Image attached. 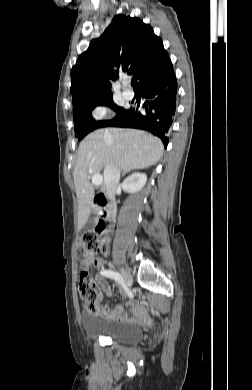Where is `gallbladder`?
Here are the masks:
<instances>
[{"label":"gallbladder","instance_id":"1","mask_svg":"<svg viewBox=\"0 0 252 390\" xmlns=\"http://www.w3.org/2000/svg\"><path fill=\"white\" fill-rule=\"evenodd\" d=\"M95 227V219H94V216H91L87 222L85 223V225L82 227L81 229V233H84V232H87V231H91L93 230Z\"/></svg>","mask_w":252,"mask_h":390}]
</instances>
